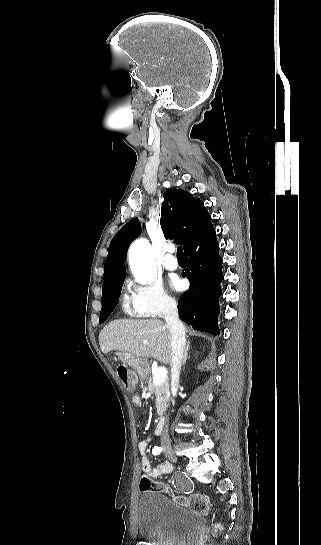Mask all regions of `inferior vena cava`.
I'll use <instances>...</instances> for the list:
<instances>
[{
    "label": "inferior vena cava",
    "mask_w": 321,
    "mask_h": 545,
    "mask_svg": "<svg viewBox=\"0 0 321 545\" xmlns=\"http://www.w3.org/2000/svg\"><path fill=\"white\" fill-rule=\"evenodd\" d=\"M163 315L171 335V393L174 397L175 393L178 391L179 375L186 345L185 329L184 325L179 321L177 305L173 299H166ZM171 446L168 435V423L166 421L161 435V447L163 450L167 451L171 449Z\"/></svg>",
    "instance_id": "602c4592"
}]
</instances>
